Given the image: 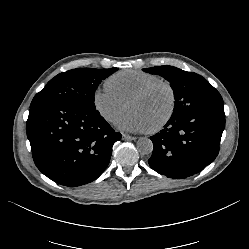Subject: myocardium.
Segmentation results:
<instances>
[{"instance_id":"1","label":"myocardium","mask_w":249,"mask_h":249,"mask_svg":"<svg viewBox=\"0 0 249 249\" xmlns=\"http://www.w3.org/2000/svg\"><path fill=\"white\" fill-rule=\"evenodd\" d=\"M158 87H164L165 89H167V91L170 95L171 104H170L169 111L165 115V117L156 126L147 130V132L150 134H154V133H157V132L163 130L172 120V118L176 112L177 104H178V99H177V94H176L175 88L173 87V85L169 81L162 80V79L156 80L154 82H151V83L145 85L139 91L134 93L128 100V103H129L133 100L141 99V98L149 95L153 90H155Z\"/></svg>"}]
</instances>
